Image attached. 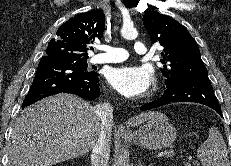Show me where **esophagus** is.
<instances>
[{"label":"esophagus","mask_w":231,"mask_h":166,"mask_svg":"<svg viewBox=\"0 0 231 166\" xmlns=\"http://www.w3.org/2000/svg\"><path fill=\"white\" fill-rule=\"evenodd\" d=\"M117 131H118V133H121V134L129 133V130L122 124L118 125Z\"/></svg>","instance_id":"1"}]
</instances>
